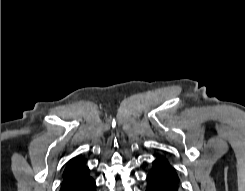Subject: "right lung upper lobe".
Instances as JSON below:
<instances>
[{
  "label": "right lung upper lobe",
  "instance_id": "right-lung-upper-lobe-1",
  "mask_svg": "<svg viewBox=\"0 0 245 191\" xmlns=\"http://www.w3.org/2000/svg\"><path fill=\"white\" fill-rule=\"evenodd\" d=\"M85 167L84 162L79 159H72L66 167L63 177L73 174L74 172Z\"/></svg>",
  "mask_w": 245,
  "mask_h": 191
}]
</instances>
